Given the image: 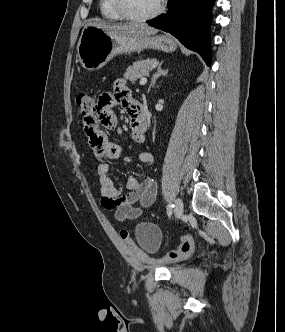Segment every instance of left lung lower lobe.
I'll return each mask as SVG.
<instances>
[{"label": "left lung lower lobe", "instance_id": "0a47b994", "mask_svg": "<svg viewBox=\"0 0 285 332\" xmlns=\"http://www.w3.org/2000/svg\"><path fill=\"white\" fill-rule=\"evenodd\" d=\"M214 0H171L166 14L147 23L170 32L184 46L198 52L210 64L209 25Z\"/></svg>", "mask_w": 285, "mask_h": 332}]
</instances>
